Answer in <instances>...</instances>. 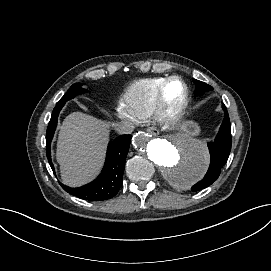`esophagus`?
I'll return each instance as SVG.
<instances>
[{"mask_svg": "<svg viewBox=\"0 0 271 271\" xmlns=\"http://www.w3.org/2000/svg\"><path fill=\"white\" fill-rule=\"evenodd\" d=\"M147 132L152 135L153 137H156L159 134V130L156 127H148Z\"/></svg>", "mask_w": 271, "mask_h": 271, "instance_id": "esophagus-1", "label": "esophagus"}]
</instances>
